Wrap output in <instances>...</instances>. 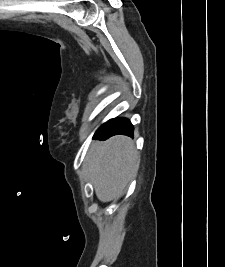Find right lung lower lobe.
<instances>
[{
  "instance_id": "98d812e1",
  "label": "right lung lower lobe",
  "mask_w": 225,
  "mask_h": 267,
  "mask_svg": "<svg viewBox=\"0 0 225 267\" xmlns=\"http://www.w3.org/2000/svg\"><path fill=\"white\" fill-rule=\"evenodd\" d=\"M133 125L126 118H114L99 127L93 138L106 140L111 136L122 134L133 137Z\"/></svg>"
}]
</instances>
